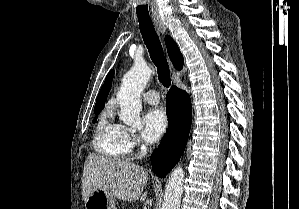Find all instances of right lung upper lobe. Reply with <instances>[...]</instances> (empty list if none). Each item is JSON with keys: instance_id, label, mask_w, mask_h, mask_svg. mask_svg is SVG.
<instances>
[{"instance_id": "cb5924a9", "label": "right lung upper lobe", "mask_w": 299, "mask_h": 209, "mask_svg": "<svg viewBox=\"0 0 299 209\" xmlns=\"http://www.w3.org/2000/svg\"><path fill=\"white\" fill-rule=\"evenodd\" d=\"M165 43H166L169 57L174 65V67L178 70L182 69L183 56H182L177 44L174 42V40L170 36H167V35L165 36ZM113 74H114V70H111L105 80L104 86L101 88V90L98 94L94 112H100L102 110V108L104 107L106 97H107L110 87H111Z\"/></svg>"}]
</instances>
